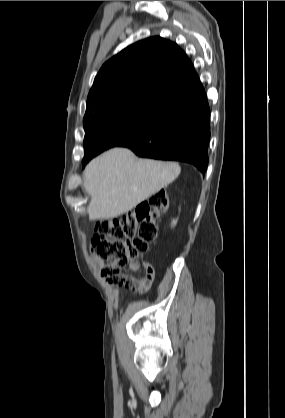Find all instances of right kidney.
Segmentation results:
<instances>
[{
    "label": "right kidney",
    "mask_w": 285,
    "mask_h": 418,
    "mask_svg": "<svg viewBox=\"0 0 285 418\" xmlns=\"http://www.w3.org/2000/svg\"><path fill=\"white\" fill-rule=\"evenodd\" d=\"M176 223H177V220H173L171 225H172V226H175V225H176Z\"/></svg>",
    "instance_id": "1"
}]
</instances>
